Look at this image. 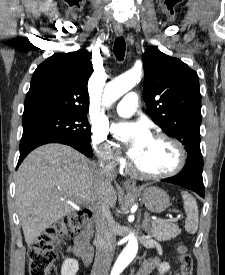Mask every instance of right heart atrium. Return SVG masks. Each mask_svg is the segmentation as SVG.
Masks as SVG:
<instances>
[{
    "label": "right heart atrium",
    "mask_w": 225,
    "mask_h": 275,
    "mask_svg": "<svg viewBox=\"0 0 225 275\" xmlns=\"http://www.w3.org/2000/svg\"><path fill=\"white\" fill-rule=\"evenodd\" d=\"M91 140L94 151L103 163L113 166L124 163V160L113 147V144L109 140L108 134L104 129L99 127L93 128Z\"/></svg>",
    "instance_id": "d8ad5b80"
}]
</instances>
